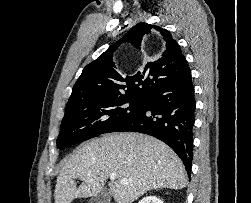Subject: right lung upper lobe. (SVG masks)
<instances>
[{"label":"right lung upper lobe","mask_w":251,"mask_h":203,"mask_svg":"<svg viewBox=\"0 0 251 203\" xmlns=\"http://www.w3.org/2000/svg\"><path fill=\"white\" fill-rule=\"evenodd\" d=\"M152 28L159 32L163 46L165 45L161 57L144 64L131 76L116 69L113 53L118 46L123 42H129L135 48L141 49L144 34ZM188 68L180 46L166 29L139 23L83 69L73 86L67 105L114 98L144 99L153 89L178 78Z\"/></svg>","instance_id":"1"}]
</instances>
